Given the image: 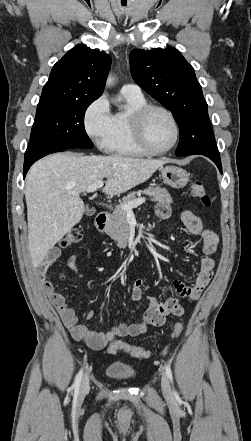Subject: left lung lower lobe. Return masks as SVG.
<instances>
[{
  "mask_svg": "<svg viewBox=\"0 0 251 441\" xmlns=\"http://www.w3.org/2000/svg\"><path fill=\"white\" fill-rule=\"evenodd\" d=\"M200 154L210 158L222 173L220 154L215 142L210 121L194 123L180 131L177 156Z\"/></svg>",
  "mask_w": 251,
  "mask_h": 441,
  "instance_id": "1",
  "label": "left lung lower lobe"
}]
</instances>
